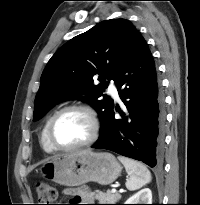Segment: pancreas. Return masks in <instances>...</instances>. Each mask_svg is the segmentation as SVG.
Returning a JSON list of instances; mask_svg holds the SVG:
<instances>
[{
    "mask_svg": "<svg viewBox=\"0 0 200 205\" xmlns=\"http://www.w3.org/2000/svg\"><path fill=\"white\" fill-rule=\"evenodd\" d=\"M93 195V198L101 204H115L121 198L119 193H112L110 190L106 193L97 190Z\"/></svg>",
    "mask_w": 200,
    "mask_h": 205,
    "instance_id": "obj_1",
    "label": "pancreas"
}]
</instances>
